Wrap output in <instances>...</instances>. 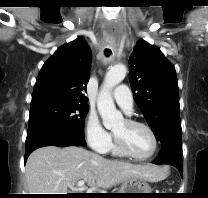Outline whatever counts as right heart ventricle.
I'll list each match as a JSON object with an SVG mask.
<instances>
[{"label":"right heart ventricle","mask_w":208,"mask_h":198,"mask_svg":"<svg viewBox=\"0 0 208 198\" xmlns=\"http://www.w3.org/2000/svg\"><path fill=\"white\" fill-rule=\"evenodd\" d=\"M109 151H110L114 156H118V157H123V156H125L124 154H122V153L118 150V148L116 147V145H115V144H112V143H111V145H110V147H109Z\"/></svg>","instance_id":"1"}]
</instances>
